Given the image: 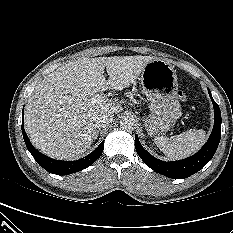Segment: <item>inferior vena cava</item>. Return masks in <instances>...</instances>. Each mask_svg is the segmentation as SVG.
Wrapping results in <instances>:
<instances>
[{"label":"inferior vena cava","instance_id":"obj_1","mask_svg":"<svg viewBox=\"0 0 233 233\" xmlns=\"http://www.w3.org/2000/svg\"><path fill=\"white\" fill-rule=\"evenodd\" d=\"M114 120V114L108 112H100L93 117L95 128H104L109 126Z\"/></svg>","mask_w":233,"mask_h":233}]
</instances>
